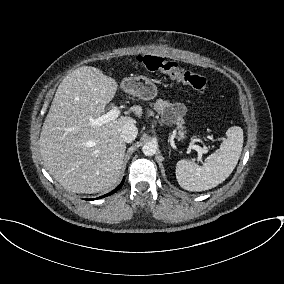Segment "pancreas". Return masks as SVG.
Returning a JSON list of instances; mask_svg holds the SVG:
<instances>
[{"mask_svg": "<svg viewBox=\"0 0 284 284\" xmlns=\"http://www.w3.org/2000/svg\"><path fill=\"white\" fill-rule=\"evenodd\" d=\"M179 108H182L183 111L180 112ZM154 109L161 115L162 121L167 125L176 124L178 128V140H183L185 138L186 131L184 130L185 127L183 126L184 120L183 116L186 113V108L181 103H175L171 104L167 101H163L161 99L157 100L156 103H154ZM173 114V119H169V115Z\"/></svg>", "mask_w": 284, "mask_h": 284, "instance_id": "cf45deb5", "label": "pancreas"}]
</instances>
